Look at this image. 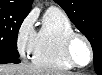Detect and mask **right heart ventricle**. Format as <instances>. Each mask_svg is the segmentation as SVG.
<instances>
[{
  "mask_svg": "<svg viewBox=\"0 0 102 75\" xmlns=\"http://www.w3.org/2000/svg\"><path fill=\"white\" fill-rule=\"evenodd\" d=\"M75 32L68 15L57 7H50L44 14L35 36L32 50L33 62L59 69L73 65L64 51L65 39Z\"/></svg>",
  "mask_w": 102,
  "mask_h": 75,
  "instance_id": "e07e8e85",
  "label": "right heart ventricle"
}]
</instances>
